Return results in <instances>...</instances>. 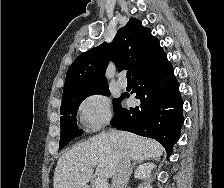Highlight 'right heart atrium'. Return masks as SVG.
<instances>
[{
  "label": "right heart atrium",
  "mask_w": 224,
  "mask_h": 188,
  "mask_svg": "<svg viewBox=\"0 0 224 188\" xmlns=\"http://www.w3.org/2000/svg\"><path fill=\"white\" fill-rule=\"evenodd\" d=\"M79 117L88 131H97L111 120V108L109 99L100 93H94L79 105Z\"/></svg>",
  "instance_id": "1"
}]
</instances>
